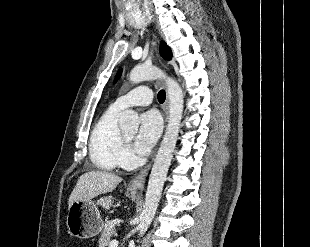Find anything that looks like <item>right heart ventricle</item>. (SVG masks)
<instances>
[{"label":"right heart ventricle","instance_id":"e07e8e85","mask_svg":"<svg viewBox=\"0 0 310 247\" xmlns=\"http://www.w3.org/2000/svg\"><path fill=\"white\" fill-rule=\"evenodd\" d=\"M119 112L111 105L97 120L90 135V160L102 170H113L122 163L125 141L117 123Z\"/></svg>","mask_w":310,"mask_h":247}]
</instances>
